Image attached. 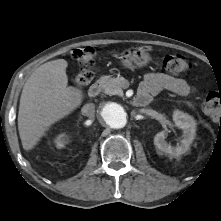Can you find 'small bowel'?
Segmentation results:
<instances>
[{
    "label": "small bowel",
    "mask_w": 221,
    "mask_h": 221,
    "mask_svg": "<svg viewBox=\"0 0 221 221\" xmlns=\"http://www.w3.org/2000/svg\"><path fill=\"white\" fill-rule=\"evenodd\" d=\"M161 90H168L179 95H188L194 91V88L182 78L165 73L151 72L144 76L139 92L152 96Z\"/></svg>",
    "instance_id": "1"
}]
</instances>
